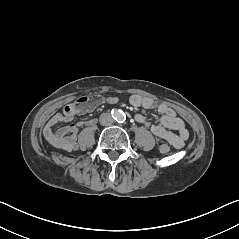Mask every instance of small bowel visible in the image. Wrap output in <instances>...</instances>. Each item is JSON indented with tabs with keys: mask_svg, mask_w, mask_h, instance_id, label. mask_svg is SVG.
Here are the masks:
<instances>
[{
	"mask_svg": "<svg viewBox=\"0 0 239 239\" xmlns=\"http://www.w3.org/2000/svg\"><path fill=\"white\" fill-rule=\"evenodd\" d=\"M118 97H107L106 102L110 104L117 103ZM130 104L134 107H143L145 109H155L160 118L158 123L152 124L144 115L136 114L135 120L141 125L149 128V130L157 138L168 141L176 148H182L185 145L186 140L189 137L188 130L185 127L183 120L178 117L176 112L166 105L165 103L157 102L156 100L134 94L129 99ZM94 105H90L83 109H76L75 103L67 105L62 112L54 115L45 125L43 130L44 139L51 146L64 150L74 151L77 148V133L79 129L85 124L84 122H78L69 124L58 130H54V127L59 123H66L73 119L76 114H83Z\"/></svg>",
	"mask_w": 239,
	"mask_h": 239,
	"instance_id": "obj_1",
	"label": "small bowel"
}]
</instances>
